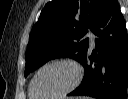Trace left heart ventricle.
I'll use <instances>...</instances> for the list:
<instances>
[{
    "mask_svg": "<svg viewBox=\"0 0 128 99\" xmlns=\"http://www.w3.org/2000/svg\"><path fill=\"white\" fill-rule=\"evenodd\" d=\"M74 69L66 64L54 65L40 72L35 84L34 93L39 96L57 94L68 88L75 80Z\"/></svg>",
    "mask_w": 128,
    "mask_h": 99,
    "instance_id": "left-heart-ventricle-1",
    "label": "left heart ventricle"
}]
</instances>
